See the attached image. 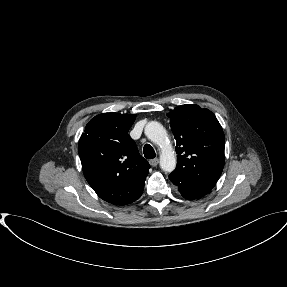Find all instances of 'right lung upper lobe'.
I'll list each match as a JSON object with an SVG mask.
<instances>
[{
	"mask_svg": "<svg viewBox=\"0 0 287 287\" xmlns=\"http://www.w3.org/2000/svg\"><path fill=\"white\" fill-rule=\"evenodd\" d=\"M135 119L134 114L97 115L79 140L86 180L101 199L114 205H126L141 196L150 168L128 134Z\"/></svg>",
	"mask_w": 287,
	"mask_h": 287,
	"instance_id": "cb5924a9",
	"label": "right lung upper lobe"
}]
</instances>
